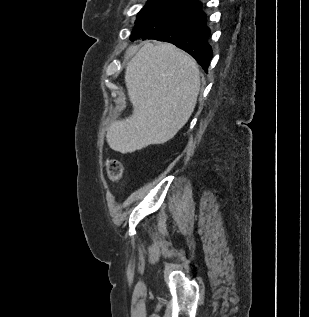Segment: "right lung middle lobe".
<instances>
[{"instance_id": "obj_1", "label": "right lung middle lobe", "mask_w": 309, "mask_h": 317, "mask_svg": "<svg viewBox=\"0 0 309 317\" xmlns=\"http://www.w3.org/2000/svg\"><path fill=\"white\" fill-rule=\"evenodd\" d=\"M173 2H176V0H149L146 6H144L141 11L138 14V18L136 20V23L144 18L145 16L149 15L150 13L163 8Z\"/></svg>"}]
</instances>
